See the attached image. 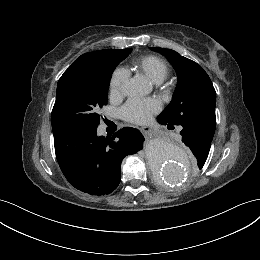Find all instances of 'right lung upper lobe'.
Segmentation results:
<instances>
[{"mask_svg": "<svg viewBox=\"0 0 260 260\" xmlns=\"http://www.w3.org/2000/svg\"><path fill=\"white\" fill-rule=\"evenodd\" d=\"M110 50H113V49L98 50V51H95V52L85 53V54L81 55L75 62H78L79 60H81L85 57H88V56L103 54V53L108 52Z\"/></svg>", "mask_w": 260, "mask_h": 260, "instance_id": "obj_1", "label": "right lung upper lobe"}]
</instances>
